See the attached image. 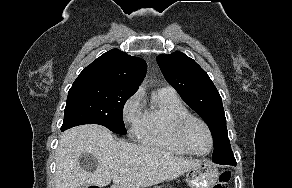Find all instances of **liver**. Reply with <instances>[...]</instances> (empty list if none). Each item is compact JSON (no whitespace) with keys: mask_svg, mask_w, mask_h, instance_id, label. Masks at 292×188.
<instances>
[{"mask_svg":"<svg viewBox=\"0 0 292 188\" xmlns=\"http://www.w3.org/2000/svg\"><path fill=\"white\" fill-rule=\"evenodd\" d=\"M96 158L94 171L83 167L79 157ZM200 161L184 159L160 148L117 141L99 125H81L65 131L56 150L55 188L89 184L112 188H145L173 180ZM120 169H126L120 173Z\"/></svg>","mask_w":292,"mask_h":188,"instance_id":"liver-1","label":"liver"}]
</instances>
